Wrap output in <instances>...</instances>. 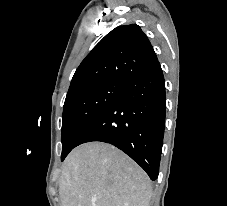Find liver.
I'll return each instance as SVG.
<instances>
[{
  "instance_id": "6515ba94",
  "label": "liver",
  "mask_w": 227,
  "mask_h": 206,
  "mask_svg": "<svg viewBox=\"0 0 227 206\" xmlns=\"http://www.w3.org/2000/svg\"><path fill=\"white\" fill-rule=\"evenodd\" d=\"M61 206H149L147 174L112 145L90 142L64 161L59 181Z\"/></svg>"
}]
</instances>
